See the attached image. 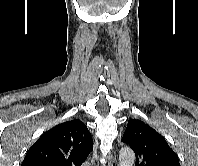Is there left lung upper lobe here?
<instances>
[{
  "instance_id": "5c2ea615",
  "label": "left lung upper lobe",
  "mask_w": 198,
  "mask_h": 166,
  "mask_svg": "<svg viewBox=\"0 0 198 166\" xmlns=\"http://www.w3.org/2000/svg\"><path fill=\"white\" fill-rule=\"evenodd\" d=\"M122 141L135 152L136 166H180L166 140L140 120L128 122Z\"/></svg>"
}]
</instances>
